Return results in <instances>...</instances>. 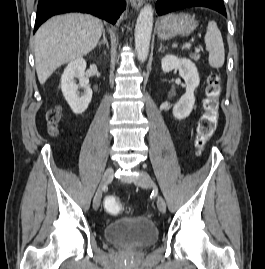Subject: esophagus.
Masks as SVG:
<instances>
[{
	"label": "esophagus",
	"mask_w": 265,
	"mask_h": 269,
	"mask_svg": "<svg viewBox=\"0 0 265 269\" xmlns=\"http://www.w3.org/2000/svg\"><path fill=\"white\" fill-rule=\"evenodd\" d=\"M134 9H139L143 5V0H129Z\"/></svg>",
	"instance_id": "esophagus-1"
}]
</instances>
